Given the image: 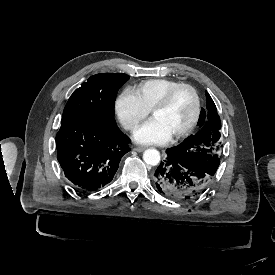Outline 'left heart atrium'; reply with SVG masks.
<instances>
[{
	"label": "left heart atrium",
	"mask_w": 275,
	"mask_h": 275,
	"mask_svg": "<svg viewBox=\"0 0 275 275\" xmlns=\"http://www.w3.org/2000/svg\"><path fill=\"white\" fill-rule=\"evenodd\" d=\"M169 138V134L154 119L141 126L134 133V140L141 144L161 143Z\"/></svg>",
	"instance_id": "obj_1"
}]
</instances>
